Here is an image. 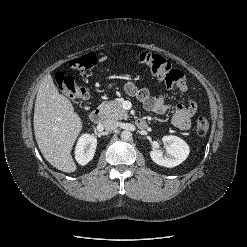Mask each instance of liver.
Here are the masks:
<instances>
[{
	"label": "liver",
	"instance_id": "1",
	"mask_svg": "<svg viewBox=\"0 0 247 247\" xmlns=\"http://www.w3.org/2000/svg\"><path fill=\"white\" fill-rule=\"evenodd\" d=\"M105 60L107 56L99 62ZM82 127V119L70 100L59 93L51 75L45 76L35 100L34 133L42 155L58 170L76 171L71 151Z\"/></svg>",
	"mask_w": 247,
	"mask_h": 247
}]
</instances>
